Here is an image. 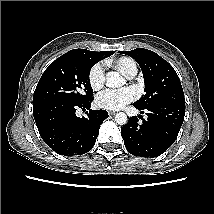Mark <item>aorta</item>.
<instances>
[{
    "mask_svg": "<svg viewBox=\"0 0 214 214\" xmlns=\"http://www.w3.org/2000/svg\"><path fill=\"white\" fill-rule=\"evenodd\" d=\"M125 84V79L118 72H109L107 75L106 86L117 88ZM127 115L124 112H119L115 115V122L119 125L127 123Z\"/></svg>",
    "mask_w": 214,
    "mask_h": 214,
    "instance_id": "762f6f07",
    "label": "aorta"
}]
</instances>
